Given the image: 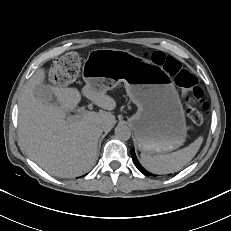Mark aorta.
<instances>
[{"instance_id":"762f6f07","label":"aorta","mask_w":231,"mask_h":231,"mask_svg":"<svg viewBox=\"0 0 231 231\" xmlns=\"http://www.w3.org/2000/svg\"><path fill=\"white\" fill-rule=\"evenodd\" d=\"M115 136L120 140L126 141L131 137V130L126 125H118L115 128Z\"/></svg>"}]
</instances>
